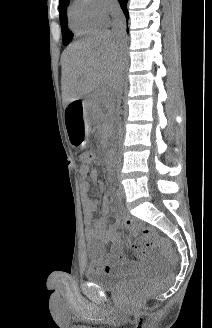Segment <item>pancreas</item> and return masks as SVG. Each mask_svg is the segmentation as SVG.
I'll return each mask as SVG.
<instances>
[{
    "instance_id": "cf45deb5",
    "label": "pancreas",
    "mask_w": 212,
    "mask_h": 328,
    "mask_svg": "<svg viewBox=\"0 0 212 328\" xmlns=\"http://www.w3.org/2000/svg\"><path fill=\"white\" fill-rule=\"evenodd\" d=\"M101 103L108 105V98L102 93L95 94L93 97V108L97 117L100 119V124L102 125V127H105L109 119V114L102 113L101 109L99 108Z\"/></svg>"
}]
</instances>
